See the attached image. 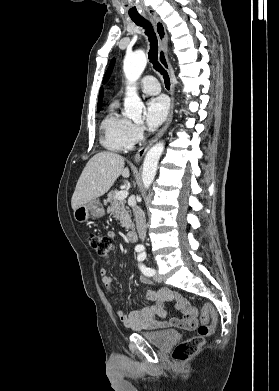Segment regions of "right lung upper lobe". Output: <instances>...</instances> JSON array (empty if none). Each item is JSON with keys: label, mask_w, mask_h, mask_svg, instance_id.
Returning <instances> with one entry per match:
<instances>
[{"label": "right lung upper lobe", "mask_w": 279, "mask_h": 391, "mask_svg": "<svg viewBox=\"0 0 279 391\" xmlns=\"http://www.w3.org/2000/svg\"><path fill=\"white\" fill-rule=\"evenodd\" d=\"M102 97H103V90L101 89V90H100V93H99V99H98V108H100V107H99V104H100L101 101H102Z\"/></svg>", "instance_id": "cb5924a9"}]
</instances>
